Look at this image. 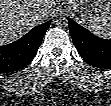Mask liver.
<instances>
[{"instance_id": "1", "label": "liver", "mask_w": 111, "mask_h": 106, "mask_svg": "<svg viewBox=\"0 0 111 106\" xmlns=\"http://www.w3.org/2000/svg\"><path fill=\"white\" fill-rule=\"evenodd\" d=\"M56 0H1L0 44L11 43L49 19Z\"/></svg>"}]
</instances>
